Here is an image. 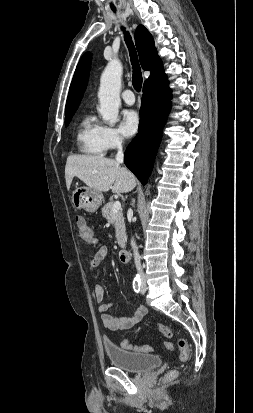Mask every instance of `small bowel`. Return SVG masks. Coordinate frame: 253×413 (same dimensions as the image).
Segmentation results:
<instances>
[{
  "label": "small bowel",
  "instance_id": "small-bowel-1",
  "mask_svg": "<svg viewBox=\"0 0 253 413\" xmlns=\"http://www.w3.org/2000/svg\"><path fill=\"white\" fill-rule=\"evenodd\" d=\"M107 255V248L101 247L94 255L90 262V269H98ZM94 296L96 301L99 303V312L101 314L102 323L105 328L113 331L126 330L135 326L145 315L146 309L144 307H139L131 316L129 317H115L110 314V310L114 307L113 303H103L104 299V289L101 286H96L94 289Z\"/></svg>",
  "mask_w": 253,
  "mask_h": 413
}]
</instances>
